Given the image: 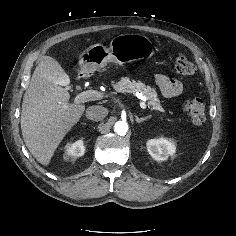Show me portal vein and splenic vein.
<instances>
[{"instance_id": "obj_1", "label": "portal vein and splenic vein", "mask_w": 236, "mask_h": 236, "mask_svg": "<svg viewBox=\"0 0 236 236\" xmlns=\"http://www.w3.org/2000/svg\"><path fill=\"white\" fill-rule=\"evenodd\" d=\"M101 98V93L95 90H88V91H84L79 93L76 97H75V103H85L88 101H93V100H98ZM145 97L142 96L141 97V102H140V107L145 110L146 109V104H145Z\"/></svg>"}]
</instances>
